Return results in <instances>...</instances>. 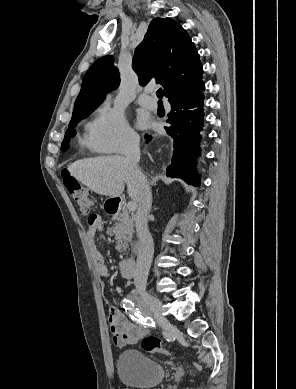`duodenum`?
I'll use <instances>...</instances> for the list:
<instances>
[{"mask_svg":"<svg viewBox=\"0 0 296 389\" xmlns=\"http://www.w3.org/2000/svg\"><path fill=\"white\" fill-rule=\"evenodd\" d=\"M121 205L122 204L120 199H112L108 204V208H107L108 213L113 215L117 214L121 209ZM151 250H152L151 243L149 241L145 242L137 259H128L120 263L121 275L127 279L132 278L136 272L137 263L145 259L147 256H149Z\"/></svg>","mask_w":296,"mask_h":389,"instance_id":"1","label":"duodenum"}]
</instances>
